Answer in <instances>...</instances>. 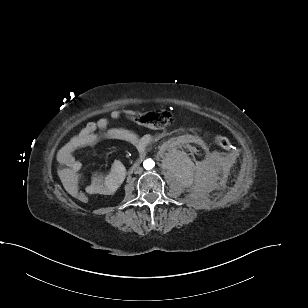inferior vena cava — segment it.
<instances>
[{
  "mask_svg": "<svg viewBox=\"0 0 308 308\" xmlns=\"http://www.w3.org/2000/svg\"><path fill=\"white\" fill-rule=\"evenodd\" d=\"M143 169L141 167H137L134 171L135 174H140L142 173Z\"/></svg>",
  "mask_w": 308,
  "mask_h": 308,
  "instance_id": "602c4592",
  "label": "inferior vena cava"
}]
</instances>
